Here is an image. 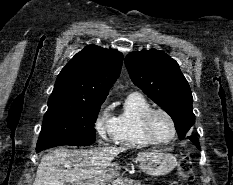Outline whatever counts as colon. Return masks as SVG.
<instances>
[{"label":"colon","instance_id":"colon-1","mask_svg":"<svg viewBox=\"0 0 233 185\" xmlns=\"http://www.w3.org/2000/svg\"><path fill=\"white\" fill-rule=\"evenodd\" d=\"M177 174L181 179H190L193 175V163L189 155L182 156L178 161Z\"/></svg>","mask_w":233,"mask_h":185}]
</instances>
